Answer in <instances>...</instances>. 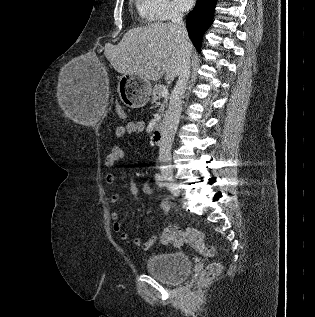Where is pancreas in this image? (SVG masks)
<instances>
[{
  "label": "pancreas",
  "mask_w": 315,
  "mask_h": 317,
  "mask_svg": "<svg viewBox=\"0 0 315 317\" xmlns=\"http://www.w3.org/2000/svg\"><path fill=\"white\" fill-rule=\"evenodd\" d=\"M166 88L164 85H155L152 91V102H156L162 96V90ZM167 104V99H165L161 111L164 112V106Z\"/></svg>",
  "instance_id": "cf45deb5"
}]
</instances>
